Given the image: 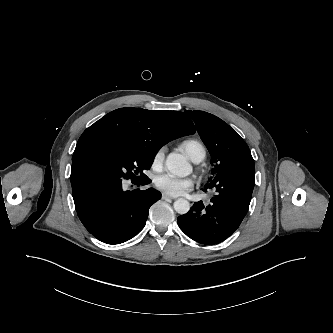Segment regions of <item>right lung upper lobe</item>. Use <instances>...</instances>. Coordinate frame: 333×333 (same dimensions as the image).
I'll return each instance as SVG.
<instances>
[{"label": "right lung upper lobe", "instance_id": "obj_1", "mask_svg": "<svg viewBox=\"0 0 333 333\" xmlns=\"http://www.w3.org/2000/svg\"><path fill=\"white\" fill-rule=\"evenodd\" d=\"M194 132L192 121L182 112L128 107L114 110L95 122L77 144L93 138H109L159 150L168 142Z\"/></svg>", "mask_w": 333, "mask_h": 333}]
</instances>
